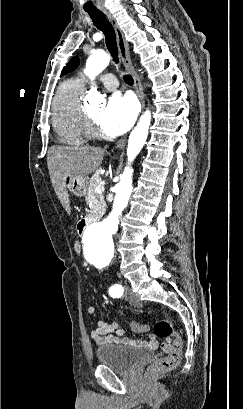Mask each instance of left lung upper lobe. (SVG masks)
Instances as JSON below:
<instances>
[{
	"instance_id": "1",
	"label": "left lung upper lobe",
	"mask_w": 243,
	"mask_h": 409,
	"mask_svg": "<svg viewBox=\"0 0 243 409\" xmlns=\"http://www.w3.org/2000/svg\"><path fill=\"white\" fill-rule=\"evenodd\" d=\"M79 64V58L74 57L70 60V62L64 67L62 74H66L72 70H74Z\"/></svg>"
}]
</instances>
